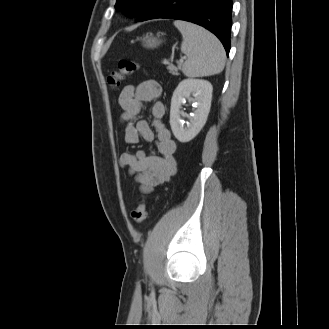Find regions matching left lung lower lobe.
<instances>
[{"label": "left lung lower lobe", "instance_id": "left-lung-lower-lobe-1", "mask_svg": "<svg viewBox=\"0 0 329 329\" xmlns=\"http://www.w3.org/2000/svg\"><path fill=\"white\" fill-rule=\"evenodd\" d=\"M232 0H155L138 21L156 18L185 20L215 34L227 55L230 51Z\"/></svg>", "mask_w": 329, "mask_h": 329}]
</instances>
